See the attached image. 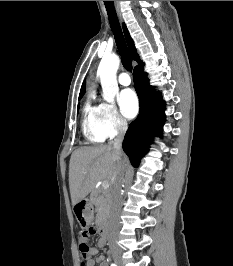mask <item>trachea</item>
<instances>
[{
	"mask_svg": "<svg viewBox=\"0 0 233 266\" xmlns=\"http://www.w3.org/2000/svg\"><path fill=\"white\" fill-rule=\"evenodd\" d=\"M104 4L107 10L110 27L114 34L115 42L121 56L122 64L126 70L132 71L131 56L122 33L119 20L117 18L114 3L113 1H104Z\"/></svg>",
	"mask_w": 233,
	"mask_h": 266,
	"instance_id": "3493384b",
	"label": "trachea"
}]
</instances>
